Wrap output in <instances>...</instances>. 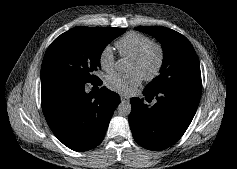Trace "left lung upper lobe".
<instances>
[{
  "mask_svg": "<svg viewBox=\"0 0 237 169\" xmlns=\"http://www.w3.org/2000/svg\"><path fill=\"white\" fill-rule=\"evenodd\" d=\"M135 29L156 37L163 48L160 75L154 78L144 91L155 93L173 86H201L199 60L186 37L162 26L136 27Z\"/></svg>",
  "mask_w": 237,
  "mask_h": 169,
  "instance_id": "5c2ea615",
  "label": "left lung upper lobe"
}]
</instances>
